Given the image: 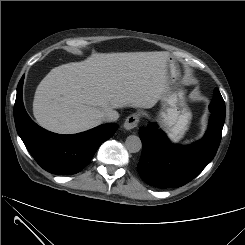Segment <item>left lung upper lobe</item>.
Listing matches in <instances>:
<instances>
[{
    "mask_svg": "<svg viewBox=\"0 0 245 245\" xmlns=\"http://www.w3.org/2000/svg\"><path fill=\"white\" fill-rule=\"evenodd\" d=\"M209 108L210 110H213L216 113L225 116V102L217 88L214 90V98Z\"/></svg>",
    "mask_w": 245,
    "mask_h": 245,
    "instance_id": "1",
    "label": "left lung upper lobe"
}]
</instances>
